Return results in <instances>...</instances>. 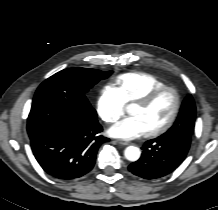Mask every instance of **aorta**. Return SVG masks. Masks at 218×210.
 <instances>
[{
    "mask_svg": "<svg viewBox=\"0 0 218 210\" xmlns=\"http://www.w3.org/2000/svg\"><path fill=\"white\" fill-rule=\"evenodd\" d=\"M125 158L129 161H137L140 158L141 151L138 147L128 146L124 151Z\"/></svg>",
    "mask_w": 218,
    "mask_h": 210,
    "instance_id": "obj_1",
    "label": "aorta"
}]
</instances>
